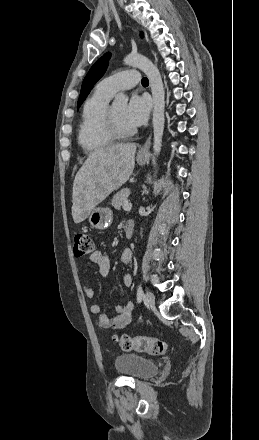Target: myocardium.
I'll return each mask as SVG.
<instances>
[{
	"label": "myocardium",
	"instance_id": "f54148a6",
	"mask_svg": "<svg viewBox=\"0 0 259 440\" xmlns=\"http://www.w3.org/2000/svg\"><path fill=\"white\" fill-rule=\"evenodd\" d=\"M106 129L113 139H126L136 133V129H123L119 126L114 115L113 107L109 106L106 113Z\"/></svg>",
	"mask_w": 259,
	"mask_h": 440
}]
</instances>
